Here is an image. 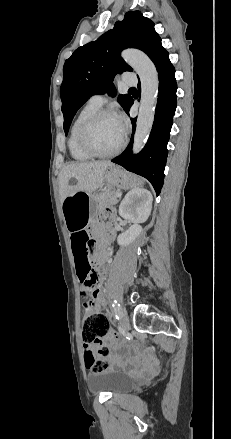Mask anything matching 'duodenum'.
<instances>
[{
    "label": "duodenum",
    "mask_w": 231,
    "mask_h": 439,
    "mask_svg": "<svg viewBox=\"0 0 231 439\" xmlns=\"http://www.w3.org/2000/svg\"><path fill=\"white\" fill-rule=\"evenodd\" d=\"M110 240H106V239H104V240H102V243L103 244H105V243H107V242H109ZM96 253H98V254H100V256H101V253L99 252V251H97ZM97 271H98V273H103V271H104V267H103V264L102 263H99L98 265H97Z\"/></svg>",
    "instance_id": "1"
}]
</instances>
